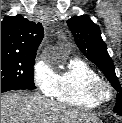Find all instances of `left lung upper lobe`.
Wrapping results in <instances>:
<instances>
[{
	"label": "left lung upper lobe",
	"mask_w": 122,
	"mask_h": 123,
	"mask_svg": "<svg viewBox=\"0 0 122 123\" xmlns=\"http://www.w3.org/2000/svg\"><path fill=\"white\" fill-rule=\"evenodd\" d=\"M67 24L80 51L104 73L118 92L117 103L113 110L122 115V88L116 77L113 61L107 52V46L101 38L99 26L94 24L88 16L72 17Z\"/></svg>",
	"instance_id": "obj_1"
}]
</instances>
